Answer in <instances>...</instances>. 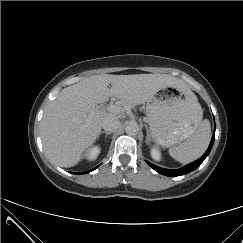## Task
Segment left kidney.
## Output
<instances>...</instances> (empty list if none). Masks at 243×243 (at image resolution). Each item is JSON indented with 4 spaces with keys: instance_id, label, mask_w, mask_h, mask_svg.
Wrapping results in <instances>:
<instances>
[{
    "instance_id": "5707ae66",
    "label": "left kidney",
    "mask_w": 243,
    "mask_h": 243,
    "mask_svg": "<svg viewBox=\"0 0 243 243\" xmlns=\"http://www.w3.org/2000/svg\"><path fill=\"white\" fill-rule=\"evenodd\" d=\"M150 153H151V157L155 161H160L161 160V153H160V151L156 147L151 148Z\"/></svg>"
}]
</instances>
